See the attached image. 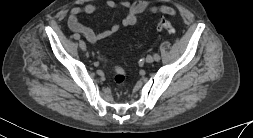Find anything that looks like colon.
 Returning <instances> with one entry per match:
<instances>
[{"label": "colon", "instance_id": "5ec220e1", "mask_svg": "<svg viewBox=\"0 0 253 138\" xmlns=\"http://www.w3.org/2000/svg\"><path fill=\"white\" fill-rule=\"evenodd\" d=\"M157 27L159 30L170 33V34L173 33L175 30L173 24L165 18H160L157 21ZM126 78L127 77H126V73L124 69L119 66H114V77H113L114 82L118 86H122L125 84Z\"/></svg>", "mask_w": 253, "mask_h": 138}]
</instances>
